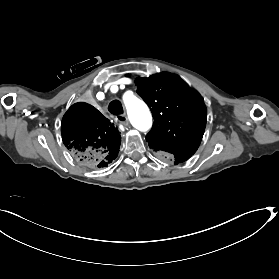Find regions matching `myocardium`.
I'll return each instance as SVG.
<instances>
[{
    "instance_id": "myocardium-1",
    "label": "myocardium",
    "mask_w": 279,
    "mask_h": 279,
    "mask_svg": "<svg viewBox=\"0 0 279 279\" xmlns=\"http://www.w3.org/2000/svg\"><path fill=\"white\" fill-rule=\"evenodd\" d=\"M97 98L99 99V100H101L102 98H103V95L102 94H98L97 95ZM136 100V99H135Z\"/></svg>"
}]
</instances>
